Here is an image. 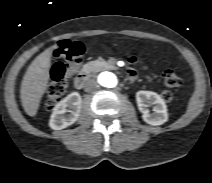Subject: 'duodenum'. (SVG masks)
Segmentation results:
<instances>
[{
    "label": "duodenum",
    "mask_w": 212,
    "mask_h": 183,
    "mask_svg": "<svg viewBox=\"0 0 212 183\" xmlns=\"http://www.w3.org/2000/svg\"><path fill=\"white\" fill-rule=\"evenodd\" d=\"M89 77V72L88 71H83L80 73L74 80V86L77 89H82Z\"/></svg>",
    "instance_id": "1"
}]
</instances>
